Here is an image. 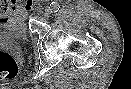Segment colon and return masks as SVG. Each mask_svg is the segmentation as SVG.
<instances>
[{"label":"colon","instance_id":"colon-1","mask_svg":"<svg viewBox=\"0 0 131 89\" xmlns=\"http://www.w3.org/2000/svg\"><path fill=\"white\" fill-rule=\"evenodd\" d=\"M19 73V64L15 56L0 50V80L13 79Z\"/></svg>","mask_w":131,"mask_h":89}]
</instances>
